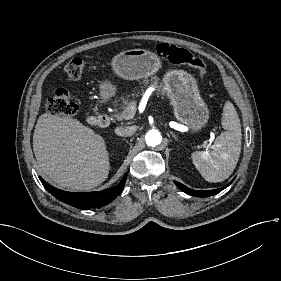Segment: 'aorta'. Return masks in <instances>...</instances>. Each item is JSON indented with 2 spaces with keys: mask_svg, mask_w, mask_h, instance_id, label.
I'll return each instance as SVG.
<instances>
[{
  "mask_svg": "<svg viewBox=\"0 0 281 281\" xmlns=\"http://www.w3.org/2000/svg\"><path fill=\"white\" fill-rule=\"evenodd\" d=\"M162 141V136L158 130H150L146 134V144L151 147L159 145Z\"/></svg>",
  "mask_w": 281,
  "mask_h": 281,
  "instance_id": "1",
  "label": "aorta"
}]
</instances>
